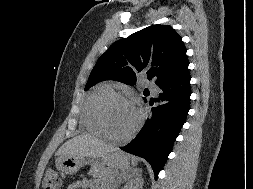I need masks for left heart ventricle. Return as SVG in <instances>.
<instances>
[{
  "label": "left heart ventricle",
  "mask_w": 253,
  "mask_h": 189,
  "mask_svg": "<svg viewBox=\"0 0 253 189\" xmlns=\"http://www.w3.org/2000/svg\"><path fill=\"white\" fill-rule=\"evenodd\" d=\"M136 109L127 103L114 102L106 109V122L109 130L118 136L127 134L137 122Z\"/></svg>",
  "instance_id": "obj_1"
}]
</instances>
